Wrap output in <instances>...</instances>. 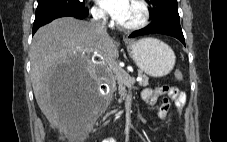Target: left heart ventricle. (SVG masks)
Segmentation results:
<instances>
[{"instance_id": "b2bd125f", "label": "left heart ventricle", "mask_w": 227, "mask_h": 142, "mask_svg": "<svg viewBox=\"0 0 227 142\" xmlns=\"http://www.w3.org/2000/svg\"><path fill=\"white\" fill-rule=\"evenodd\" d=\"M141 17V9L135 0H130L125 15L119 21L122 24H132Z\"/></svg>"}]
</instances>
